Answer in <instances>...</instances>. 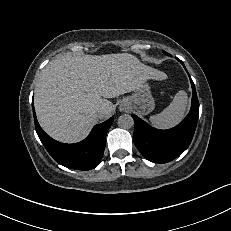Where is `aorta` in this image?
Returning a JSON list of instances; mask_svg holds the SVG:
<instances>
[{"instance_id":"aorta-1","label":"aorta","mask_w":231,"mask_h":231,"mask_svg":"<svg viewBox=\"0 0 231 231\" xmlns=\"http://www.w3.org/2000/svg\"><path fill=\"white\" fill-rule=\"evenodd\" d=\"M134 125V120L129 114H123L118 118V126L124 129H130Z\"/></svg>"}]
</instances>
